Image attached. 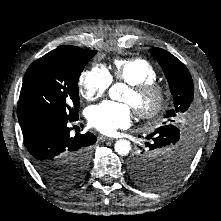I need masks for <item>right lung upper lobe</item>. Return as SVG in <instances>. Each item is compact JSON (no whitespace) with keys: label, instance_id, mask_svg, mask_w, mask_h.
<instances>
[{"label":"right lung upper lobe","instance_id":"right-lung-upper-lobe-1","mask_svg":"<svg viewBox=\"0 0 221 221\" xmlns=\"http://www.w3.org/2000/svg\"><path fill=\"white\" fill-rule=\"evenodd\" d=\"M83 50L84 49H81L76 46H61V47L51 51L50 53H53V54H76V53H79Z\"/></svg>","mask_w":221,"mask_h":221}]
</instances>
